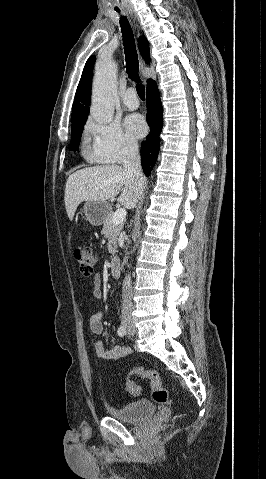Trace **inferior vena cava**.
Segmentation results:
<instances>
[{"mask_svg":"<svg viewBox=\"0 0 266 479\" xmlns=\"http://www.w3.org/2000/svg\"><path fill=\"white\" fill-rule=\"evenodd\" d=\"M123 168L126 172L134 175L137 179H143L140 155L136 143H128L123 153ZM132 312V282L130 274L126 275L122 284V310L121 317L126 320Z\"/></svg>","mask_w":266,"mask_h":479,"instance_id":"obj_1","label":"inferior vena cava"}]
</instances>
